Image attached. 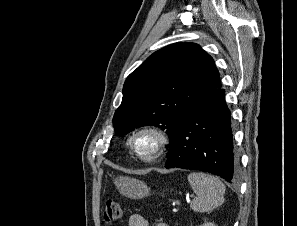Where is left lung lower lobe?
I'll return each instance as SVG.
<instances>
[{
	"label": "left lung lower lobe",
	"mask_w": 297,
	"mask_h": 226,
	"mask_svg": "<svg viewBox=\"0 0 297 226\" xmlns=\"http://www.w3.org/2000/svg\"><path fill=\"white\" fill-rule=\"evenodd\" d=\"M224 93L220 87L211 90L183 120L168 150L166 168L201 170L228 182L237 179L238 160Z\"/></svg>",
	"instance_id": "0a47b994"
}]
</instances>
